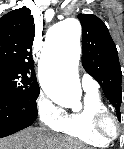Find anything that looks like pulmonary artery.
Segmentation results:
<instances>
[{"label":"pulmonary artery","instance_id":"e3ab8cb5","mask_svg":"<svg viewBox=\"0 0 124 149\" xmlns=\"http://www.w3.org/2000/svg\"><path fill=\"white\" fill-rule=\"evenodd\" d=\"M82 88L84 91H97V82L88 74L83 73L81 80Z\"/></svg>","mask_w":124,"mask_h":149}]
</instances>
